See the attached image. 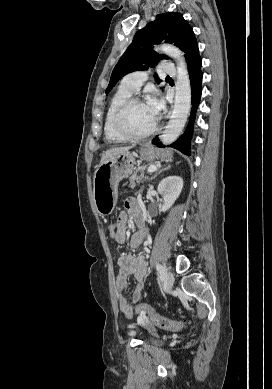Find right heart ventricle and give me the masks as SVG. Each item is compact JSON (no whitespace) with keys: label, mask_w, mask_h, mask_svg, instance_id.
<instances>
[{"label":"right heart ventricle","mask_w":272,"mask_h":389,"mask_svg":"<svg viewBox=\"0 0 272 389\" xmlns=\"http://www.w3.org/2000/svg\"><path fill=\"white\" fill-rule=\"evenodd\" d=\"M133 92L120 86L116 93L112 96L104 119V136L108 142H123L127 139L122 137L115 129L114 117L119 107L131 96Z\"/></svg>","instance_id":"obj_1"}]
</instances>
